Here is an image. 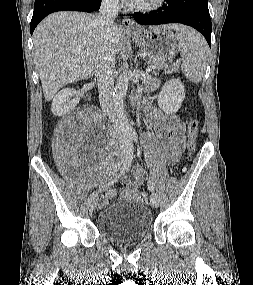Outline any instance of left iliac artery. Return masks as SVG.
Listing matches in <instances>:
<instances>
[{
  "label": "left iliac artery",
  "mask_w": 253,
  "mask_h": 285,
  "mask_svg": "<svg viewBox=\"0 0 253 285\" xmlns=\"http://www.w3.org/2000/svg\"><path fill=\"white\" fill-rule=\"evenodd\" d=\"M130 139L133 140V141H135V142H137V141H138V136H137V134H136V133H132V134L130 135ZM147 186H148V189H149L150 191H153V190H154V181H153V178H152V177H149L148 182H147Z\"/></svg>",
  "instance_id": "obj_1"
}]
</instances>
